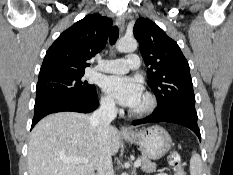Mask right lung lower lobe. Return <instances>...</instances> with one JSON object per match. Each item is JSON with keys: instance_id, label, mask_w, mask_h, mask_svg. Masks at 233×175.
<instances>
[{"instance_id": "obj_1", "label": "right lung lower lobe", "mask_w": 233, "mask_h": 175, "mask_svg": "<svg viewBox=\"0 0 233 175\" xmlns=\"http://www.w3.org/2000/svg\"><path fill=\"white\" fill-rule=\"evenodd\" d=\"M98 107L97 94L86 98H49L35 103L33 128L35 124L48 114L73 111L80 113H89Z\"/></svg>"}]
</instances>
